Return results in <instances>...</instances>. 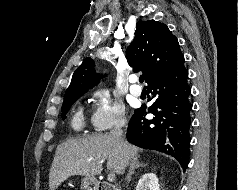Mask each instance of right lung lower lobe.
Masks as SVG:
<instances>
[{"instance_id": "obj_1", "label": "right lung lower lobe", "mask_w": 238, "mask_h": 190, "mask_svg": "<svg viewBox=\"0 0 238 190\" xmlns=\"http://www.w3.org/2000/svg\"><path fill=\"white\" fill-rule=\"evenodd\" d=\"M184 58L169 72L148 83L147 91L156 97L148 113L155 117L145 119L146 107L134 111L127 130L130 143L154 149L175 157L186 170L189 163L191 125V88Z\"/></svg>"}]
</instances>
